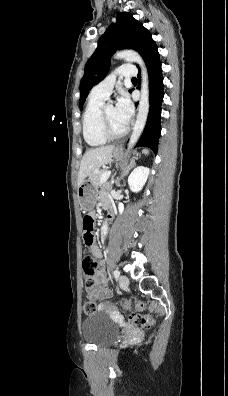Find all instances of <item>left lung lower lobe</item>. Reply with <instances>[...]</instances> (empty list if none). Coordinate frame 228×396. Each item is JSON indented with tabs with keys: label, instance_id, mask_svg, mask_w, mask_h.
<instances>
[{
	"label": "left lung lower lobe",
	"instance_id": "left-lung-lower-lobe-1",
	"mask_svg": "<svg viewBox=\"0 0 228 396\" xmlns=\"http://www.w3.org/2000/svg\"><path fill=\"white\" fill-rule=\"evenodd\" d=\"M144 60L149 73L150 110L147 124L137 146L148 147L156 153L158 150V138L161 133V104L164 93L160 55L155 41L150 45Z\"/></svg>",
	"mask_w": 228,
	"mask_h": 396
}]
</instances>
